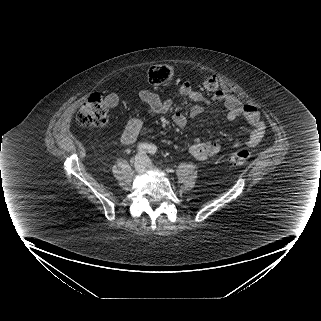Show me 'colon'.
I'll return each instance as SVG.
<instances>
[{"label": "colon", "instance_id": "1", "mask_svg": "<svg viewBox=\"0 0 321 321\" xmlns=\"http://www.w3.org/2000/svg\"><path fill=\"white\" fill-rule=\"evenodd\" d=\"M173 68L169 65H154L148 69L147 75L150 82L161 84L169 81L173 76ZM203 87L209 92H215L219 88L217 77L211 76L204 80ZM108 115V105L105 99L98 93L92 94L82 104L77 112L76 120L84 127H101L105 125ZM251 155L247 150H239L232 153L228 161L232 165L246 164Z\"/></svg>", "mask_w": 321, "mask_h": 321}]
</instances>
